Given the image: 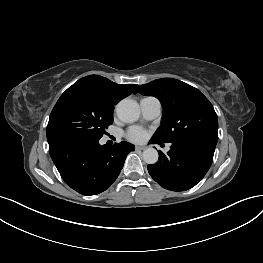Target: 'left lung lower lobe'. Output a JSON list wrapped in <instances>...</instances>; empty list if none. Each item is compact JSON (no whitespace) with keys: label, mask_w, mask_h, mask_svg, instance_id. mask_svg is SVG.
<instances>
[{"label":"left lung lower lobe","mask_w":263,"mask_h":263,"mask_svg":"<svg viewBox=\"0 0 263 263\" xmlns=\"http://www.w3.org/2000/svg\"><path fill=\"white\" fill-rule=\"evenodd\" d=\"M150 143H158L151 138ZM167 155L159 151V160L148 165L151 177L163 188L172 191L188 190L199 183L209 170L215 151L210 143L173 141Z\"/></svg>","instance_id":"0a47b994"}]
</instances>
